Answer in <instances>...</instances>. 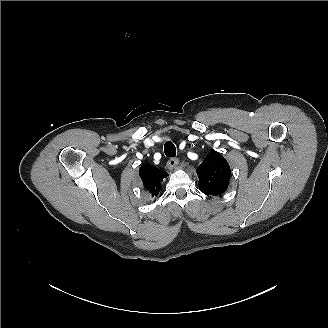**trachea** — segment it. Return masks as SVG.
I'll use <instances>...</instances> for the list:
<instances>
[{"mask_svg":"<svg viewBox=\"0 0 328 328\" xmlns=\"http://www.w3.org/2000/svg\"><path fill=\"white\" fill-rule=\"evenodd\" d=\"M164 152L167 157H174L176 156V147L171 141L165 142L164 145Z\"/></svg>","mask_w":328,"mask_h":328,"instance_id":"3493384b","label":"trachea"}]
</instances>
